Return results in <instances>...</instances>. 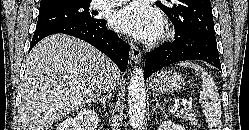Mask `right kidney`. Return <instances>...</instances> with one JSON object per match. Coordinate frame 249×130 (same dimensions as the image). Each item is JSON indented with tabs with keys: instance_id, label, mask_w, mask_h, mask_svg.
<instances>
[{
	"instance_id": "ca27d5eb",
	"label": "right kidney",
	"mask_w": 249,
	"mask_h": 130,
	"mask_svg": "<svg viewBox=\"0 0 249 130\" xmlns=\"http://www.w3.org/2000/svg\"><path fill=\"white\" fill-rule=\"evenodd\" d=\"M98 121L94 110H83L75 117L63 121L56 130H96Z\"/></svg>"
}]
</instances>
